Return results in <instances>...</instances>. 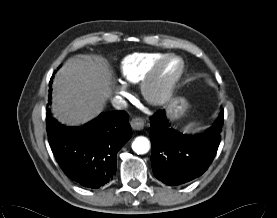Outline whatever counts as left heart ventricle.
<instances>
[{
	"label": "left heart ventricle",
	"instance_id": "1",
	"mask_svg": "<svg viewBox=\"0 0 277 218\" xmlns=\"http://www.w3.org/2000/svg\"><path fill=\"white\" fill-rule=\"evenodd\" d=\"M177 70V62L174 60L166 62L161 71L159 76V82L165 83L168 81L176 72Z\"/></svg>",
	"mask_w": 277,
	"mask_h": 218
}]
</instances>
